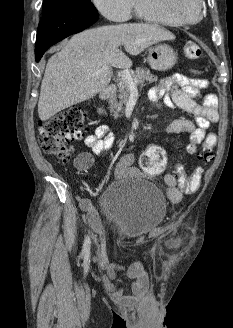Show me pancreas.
<instances>
[{"mask_svg":"<svg viewBox=\"0 0 233 328\" xmlns=\"http://www.w3.org/2000/svg\"><path fill=\"white\" fill-rule=\"evenodd\" d=\"M131 77L136 86H143L145 82L153 83L158 80L157 76L151 74L150 70L139 67L134 72H131ZM118 95H111L109 98L110 112L115 118L119 116V113L123 109L130 96V89L128 83L120 79L117 84Z\"/></svg>","mask_w":233,"mask_h":328,"instance_id":"1","label":"pancreas"}]
</instances>
